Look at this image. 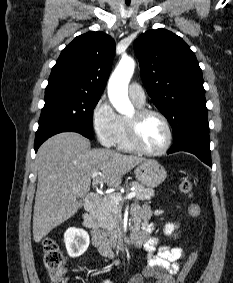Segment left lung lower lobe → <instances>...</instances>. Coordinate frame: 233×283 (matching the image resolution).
<instances>
[{"label": "left lung lower lobe", "mask_w": 233, "mask_h": 283, "mask_svg": "<svg viewBox=\"0 0 233 283\" xmlns=\"http://www.w3.org/2000/svg\"><path fill=\"white\" fill-rule=\"evenodd\" d=\"M177 151L190 152L212 167L208 129H193L175 139L173 146L168 151V154Z\"/></svg>", "instance_id": "obj_1"}]
</instances>
